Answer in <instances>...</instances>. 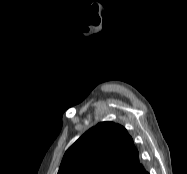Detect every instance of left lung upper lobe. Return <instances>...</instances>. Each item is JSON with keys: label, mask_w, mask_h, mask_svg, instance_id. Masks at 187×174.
<instances>
[{"label": "left lung upper lobe", "mask_w": 187, "mask_h": 174, "mask_svg": "<svg viewBox=\"0 0 187 174\" xmlns=\"http://www.w3.org/2000/svg\"><path fill=\"white\" fill-rule=\"evenodd\" d=\"M143 169L127 130L101 122L66 151L58 174H137Z\"/></svg>", "instance_id": "left-lung-upper-lobe-1"}]
</instances>
